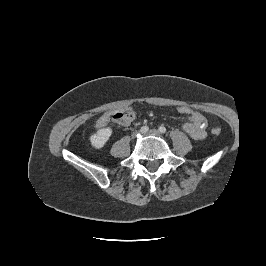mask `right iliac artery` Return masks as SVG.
<instances>
[{
  "label": "right iliac artery",
  "instance_id": "82829eb1",
  "mask_svg": "<svg viewBox=\"0 0 266 266\" xmlns=\"http://www.w3.org/2000/svg\"><path fill=\"white\" fill-rule=\"evenodd\" d=\"M149 130L148 126H142L140 129L141 133H146Z\"/></svg>",
  "mask_w": 266,
  "mask_h": 266
}]
</instances>
